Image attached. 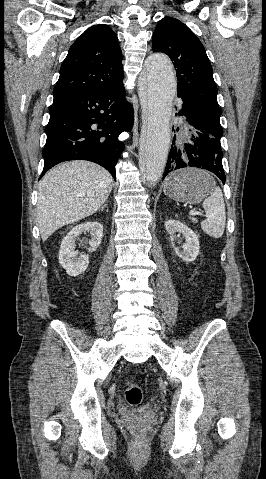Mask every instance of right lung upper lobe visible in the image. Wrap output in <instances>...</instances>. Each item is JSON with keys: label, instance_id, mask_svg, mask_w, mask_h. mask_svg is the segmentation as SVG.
<instances>
[{"label": "right lung upper lobe", "instance_id": "obj_1", "mask_svg": "<svg viewBox=\"0 0 266 479\" xmlns=\"http://www.w3.org/2000/svg\"><path fill=\"white\" fill-rule=\"evenodd\" d=\"M122 52L105 24L88 28L70 47L53 90L54 98L118 85L123 81Z\"/></svg>", "mask_w": 266, "mask_h": 479}]
</instances>
